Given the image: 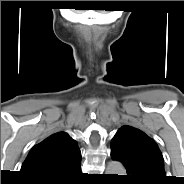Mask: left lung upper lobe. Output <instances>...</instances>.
I'll return each mask as SVG.
<instances>
[{
    "mask_svg": "<svg viewBox=\"0 0 184 184\" xmlns=\"http://www.w3.org/2000/svg\"><path fill=\"white\" fill-rule=\"evenodd\" d=\"M111 149L120 154L143 179L158 184L167 180L157 144L141 130L132 126L121 127L111 141Z\"/></svg>",
    "mask_w": 184,
    "mask_h": 184,
    "instance_id": "5c2ea615",
    "label": "left lung upper lobe"
}]
</instances>
